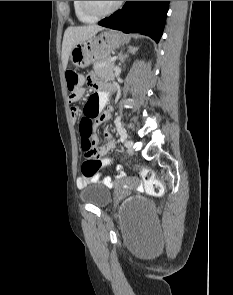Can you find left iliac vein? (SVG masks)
Masks as SVG:
<instances>
[{
  "label": "left iliac vein",
  "instance_id": "obj_1",
  "mask_svg": "<svg viewBox=\"0 0 233 295\" xmlns=\"http://www.w3.org/2000/svg\"><path fill=\"white\" fill-rule=\"evenodd\" d=\"M131 141V140H130ZM126 148H127V151L130 155H133L134 154V147H133V141H131V144L130 145H125Z\"/></svg>",
  "mask_w": 233,
  "mask_h": 295
}]
</instances>
